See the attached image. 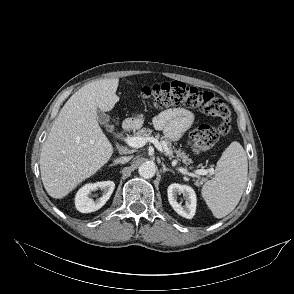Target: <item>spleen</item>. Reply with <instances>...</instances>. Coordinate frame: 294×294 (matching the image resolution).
<instances>
[{
	"instance_id": "obj_1",
	"label": "spleen",
	"mask_w": 294,
	"mask_h": 294,
	"mask_svg": "<svg viewBox=\"0 0 294 294\" xmlns=\"http://www.w3.org/2000/svg\"><path fill=\"white\" fill-rule=\"evenodd\" d=\"M247 155L239 142H232L217 162L215 176L202 187V196L216 218H223L239 203L246 187Z\"/></svg>"
}]
</instances>
